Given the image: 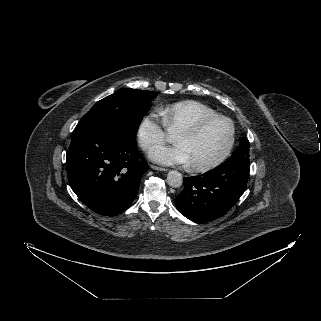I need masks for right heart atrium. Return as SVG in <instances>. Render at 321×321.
Wrapping results in <instances>:
<instances>
[{"instance_id":"1","label":"right heart atrium","mask_w":321,"mask_h":321,"mask_svg":"<svg viewBox=\"0 0 321 321\" xmlns=\"http://www.w3.org/2000/svg\"><path fill=\"white\" fill-rule=\"evenodd\" d=\"M138 142L143 150H149L166 139V127L158 114L150 113L143 117L137 129Z\"/></svg>"}]
</instances>
